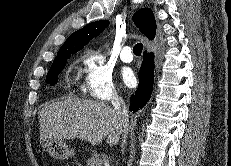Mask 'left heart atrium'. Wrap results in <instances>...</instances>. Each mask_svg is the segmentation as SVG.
<instances>
[{"mask_svg":"<svg viewBox=\"0 0 231 166\" xmlns=\"http://www.w3.org/2000/svg\"><path fill=\"white\" fill-rule=\"evenodd\" d=\"M122 80L126 86L128 87L134 86L136 79H135L133 71L130 69H125L122 72Z\"/></svg>","mask_w":231,"mask_h":166,"instance_id":"39dd6f15","label":"left heart atrium"}]
</instances>
